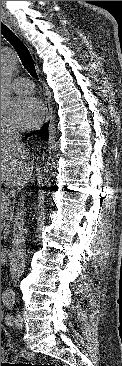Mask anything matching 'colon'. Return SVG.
Instances as JSON below:
<instances>
[{
  "label": "colon",
  "instance_id": "colon-1",
  "mask_svg": "<svg viewBox=\"0 0 122 366\" xmlns=\"http://www.w3.org/2000/svg\"><path fill=\"white\" fill-rule=\"evenodd\" d=\"M1 358L14 360L16 358L15 350L9 343L5 330L1 327ZM15 366H32L31 364H14ZM40 366H57V365H40Z\"/></svg>",
  "mask_w": 122,
  "mask_h": 366
}]
</instances>
